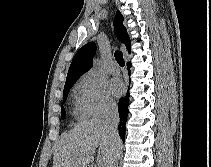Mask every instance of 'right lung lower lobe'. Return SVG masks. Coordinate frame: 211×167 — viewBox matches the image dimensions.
<instances>
[{"label": "right lung lower lobe", "mask_w": 211, "mask_h": 167, "mask_svg": "<svg viewBox=\"0 0 211 167\" xmlns=\"http://www.w3.org/2000/svg\"><path fill=\"white\" fill-rule=\"evenodd\" d=\"M130 67L131 63H128V72L130 74ZM128 105H129V93L126 95V97L121 98L119 100V105H118V111H119V116H120V124L118 126L119 130V135L121 139L124 141L125 139V124L128 116Z\"/></svg>", "instance_id": "obj_1"}]
</instances>
